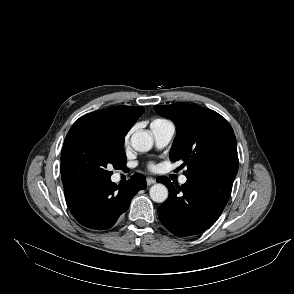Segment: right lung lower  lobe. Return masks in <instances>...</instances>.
I'll return each mask as SVG.
<instances>
[{
	"instance_id": "1",
	"label": "right lung lower lobe",
	"mask_w": 294,
	"mask_h": 294,
	"mask_svg": "<svg viewBox=\"0 0 294 294\" xmlns=\"http://www.w3.org/2000/svg\"><path fill=\"white\" fill-rule=\"evenodd\" d=\"M145 187V177L136 173L123 186L106 179L64 187V193L70 212L81 225L104 230L116 223L129 208L134 195Z\"/></svg>"
}]
</instances>
